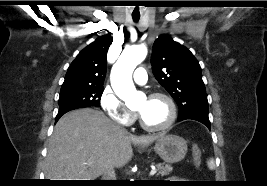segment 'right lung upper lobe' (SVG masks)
Listing matches in <instances>:
<instances>
[{
    "label": "right lung upper lobe",
    "mask_w": 267,
    "mask_h": 186,
    "mask_svg": "<svg viewBox=\"0 0 267 186\" xmlns=\"http://www.w3.org/2000/svg\"><path fill=\"white\" fill-rule=\"evenodd\" d=\"M111 43L112 38L105 35L80 51L70 64L62 87H103L106 75V55Z\"/></svg>",
    "instance_id": "obj_1"
}]
</instances>
